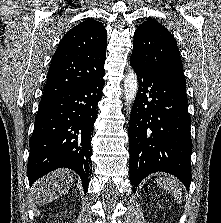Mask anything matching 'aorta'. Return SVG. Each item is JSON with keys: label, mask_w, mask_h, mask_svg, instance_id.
<instances>
[{"label": "aorta", "mask_w": 221, "mask_h": 223, "mask_svg": "<svg viewBox=\"0 0 221 223\" xmlns=\"http://www.w3.org/2000/svg\"><path fill=\"white\" fill-rule=\"evenodd\" d=\"M138 92V79L133 70H129L124 79V95L127 104H132Z\"/></svg>", "instance_id": "obj_1"}]
</instances>
